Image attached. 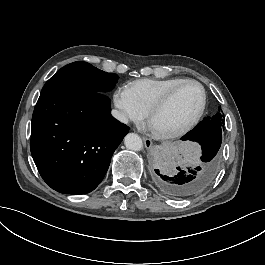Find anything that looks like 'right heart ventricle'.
Masks as SVG:
<instances>
[{"label": "right heart ventricle", "mask_w": 265, "mask_h": 265, "mask_svg": "<svg viewBox=\"0 0 265 265\" xmlns=\"http://www.w3.org/2000/svg\"><path fill=\"white\" fill-rule=\"evenodd\" d=\"M183 79L185 78L139 79L130 82L127 87L131 90L139 105L148 114L152 107Z\"/></svg>", "instance_id": "1"}]
</instances>
